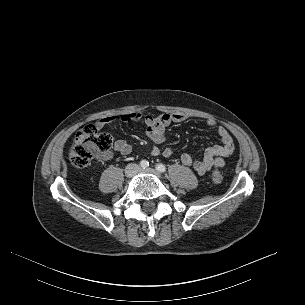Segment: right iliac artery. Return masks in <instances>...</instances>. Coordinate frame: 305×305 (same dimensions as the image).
I'll return each mask as SVG.
<instances>
[{"label": "right iliac artery", "mask_w": 305, "mask_h": 305, "mask_svg": "<svg viewBox=\"0 0 305 305\" xmlns=\"http://www.w3.org/2000/svg\"><path fill=\"white\" fill-rule=\"evenodd\" d=\"M140 166H141L142 168H147V167L149 166V162H148L147 160H142V161L140 162Z\"/></svg>", "instance_id": "82829eb1"}]
</instances>
